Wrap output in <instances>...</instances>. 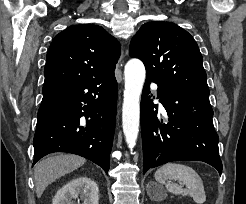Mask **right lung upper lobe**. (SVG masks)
Here are the masks:
<instances>
[{"instance_id":"obj_1","label":"right lung upper lobe","mask_w":246,"mask_h":204,"mask_svg":"<svg viewBox=\"0 0 246 204\" xmlns=\"http://www.w3.org/2000/svg\"><path fill=\"white\" fill-rule=\"evenodd\" d=\"M120 44L98 25H73L52 41L43 86L114 74Z\"/></svg>"}]
</instances>
